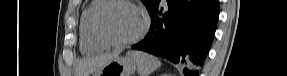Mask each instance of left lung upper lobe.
<instances>
[{
    "label": "left lung upper lobe",
    "instance_id": "5c2ea615",
    "mask_svg": "<svg viewBox=\"0 0 287 76\" xmlns=\"http://www.w3.org/2000/svg\"><path fill=\"white\" fill-rule=\"evenodd\" d=\"M144 5L146 6L149 13L154 9L155 6H157L160 2V0H141Z\"/></svg>",
    "mask_w": 287,
    "mask_h": 76
}]
</instances>
